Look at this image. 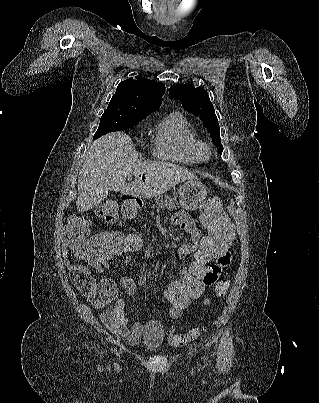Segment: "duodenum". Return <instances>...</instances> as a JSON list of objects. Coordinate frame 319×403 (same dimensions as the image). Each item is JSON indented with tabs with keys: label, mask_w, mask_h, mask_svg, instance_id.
<instances>
[{
	"label": "duodenum",
	"mask_w": 319,
	"mask_h": 403,
	"mask_svg": "<svg viewBox=\"0 0 319 403\" xmlns=\"http://www.w3.org/2000/svg\"><path fill=\"white\" fill-rule=\"evenodd\" d=\"M123 200V214L127 217L132 216V214L140 207L141 203L137 199L124 195Z\"/></svg>",
	"instance_id": "410a0bca"
}]
</instances>
